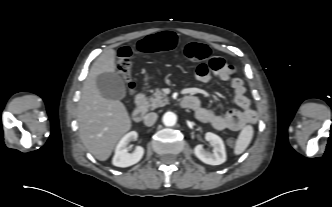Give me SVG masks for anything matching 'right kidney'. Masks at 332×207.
I'll return each mask as SVG.
<instances>
[{
	"label": "right kidney",
	"instance_id": "right-kidney-1",
	"mask_svg": "<svg viewBox=\"0 0 332 207\" xmlns=\"http://www.w3.org/2000/svg\"><path fill=\"white\" fill-rule=\"evenodd\" d=\"M138 138V133L136 131H131L127 133L117 144L115 149V155L112 160V164L117 167H129L138 163L143 155L144 148L136 147L132 153L128 152V144L131 141H135Z\"/></svg>",
	"mask_w": 332,
	"mask_h": 207
}]
</instances>
